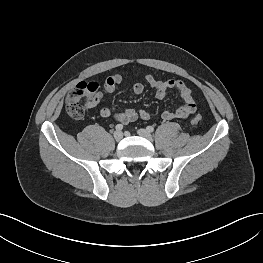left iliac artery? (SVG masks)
<instances>
[{
    "label": "left iliac artery",
    "instance_id": "obj_1",
    "mask_svg": "<svg viewBox=\"0 0 263 263\" xmlns=\"http://www.w3.org/2000/svg\"><path fill=\"white\" fill-rule=\"evenodd\" d=\"M146 129L149 131V132H153L154 131V127L153 126H147Z\"/></svg>",
    "mask_w": 263,
    "mask_h": 263
}]
</instances>
